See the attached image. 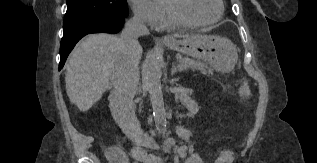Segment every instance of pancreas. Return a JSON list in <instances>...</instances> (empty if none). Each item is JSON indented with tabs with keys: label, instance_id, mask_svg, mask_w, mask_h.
<instances>
[{
	"label": "pancreas",
	"instance_id": "cf45deb5",
	"mask_svg": "<svg viewBox=\"0 0 317 163\" xmlns=\"http://www.w3.org/2000/svg\"><path fill=\"white\" fill-rule=\"evenodd\" d=\"M180 65L184 67V69H192V70H199L203 74H207L212 69L208 67V65L201 61H195L193 59L189 58H183L181 56H178Z\"/></svg>",
	"mask_w": 317,
	"mask_h": 163
}]
</instances>
